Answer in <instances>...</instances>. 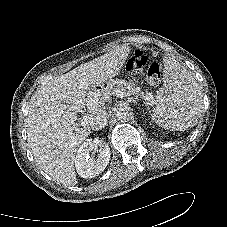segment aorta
<instances>
[{"label": "aorta", "instance_id": "obj_1", "mask_svg": "<svg viewBox=\"0 0 227 227\" xmlns=\"http://www.w3.org/2000/svg\"><path fill=\"white\" fill-rule=\"evenodd\" d=\"M115 116L119 121H128L132 116V111L128 107H119L115 112Z\"/></svg>", "mask_w": 227, "mask_h": 227}]
</instances>
